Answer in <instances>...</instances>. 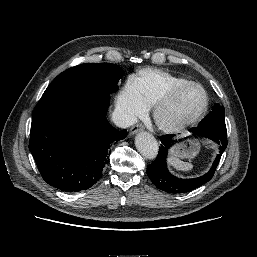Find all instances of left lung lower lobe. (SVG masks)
<instances>
[{
    "label": "left lung lower lobe",
    "mask_w": 257,
    "mask_h": 257,
    "mask_svg": "<svg viewBox=\"0 0 257 257\" xmlns=\"http://www.w3.org/2000/svg\"><path fill=\"white\" fill-rule=\"evenodd\" d=\"M190 132L194 136L208 138L219 146V154H217L210 170L201 177L193 179H180L173 176L167 169V152L174 144L175 135L161 136V145L156 159L147 166V174L154 185L168 193L180 194L190 192L201 185L207 183L213 177L215 170L219 164L221 155L227 147V131H215L201 127L191 128Z\"/></svg>",
    "instance_id": "0a47b994"
}]
</instances>
